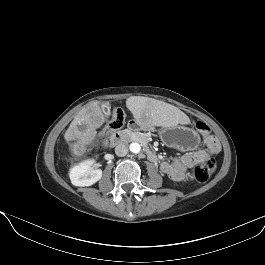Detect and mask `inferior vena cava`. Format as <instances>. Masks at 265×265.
I'll use <instances>...</instances> for the list:
<instances>
[{"mask_svg":"<svg viewBox=\"0 0 265 265\" xmlns=\"http://www.w3.org/2000/svg\"><path fill=\"white\" fill-rule=\"evenodd\" d=\"M115 153L119 157H124L128 153L127 145L124 144V143H121V144L117 145L116 148H115Z\"/></svg>","mask_w":265,"mask_h":265,"instance_id":"602c4592","label":"inferior vena cava"}]
</instances>
